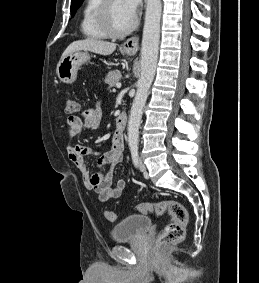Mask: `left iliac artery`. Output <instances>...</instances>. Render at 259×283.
Masks as SVG:
<instances>
[{
    "instance_id": "obj_1",
    "label": "left iliac artery",
    "mask_w": 259,
    "mask_h": 283,
    "mask_svg": "<svg viewBox=\"0 0 259 283\" xmlns=\"http://www.w3.org/2000/svg\"><path fill=\"white\" fill-rule=\"evenodd\" d=\"M131 155H132L133 163L137 167L138 166V147L137 146L131 147Z\"/></svg>"
}]
</instances>
